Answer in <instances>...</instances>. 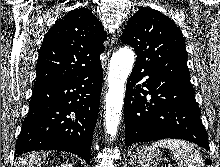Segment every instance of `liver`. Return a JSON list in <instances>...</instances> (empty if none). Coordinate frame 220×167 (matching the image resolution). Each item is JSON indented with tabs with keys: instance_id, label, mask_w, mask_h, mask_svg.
<instances>
[{
	"instance_id": "1",
	"label": "liver",
	"mask_w": 220,
	"mask_h": 167,
	"mask_svg": "<svg viewBox=\"0 0 220 167\" xmlns=\"http://www.w3.org/2000/svg\"><path fill=\"white\" fill-rule=\"evenodd\" d=\"M47 156V152H32L22 155L18 158L15 167H42Z\"/></svg>"
}]
</instances>
